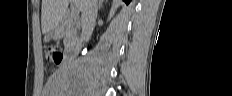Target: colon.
Listing matches in <instances>:
<instances>
[{
    "label": "colon",
    "instance_id": "5ec220e1",
    "mask_svg": "<svg viewBox=\"0 0 232 96\" xmlns=\"http://www.w3.org/2000/svg\"><path fill=\"white\" fill-rule=\"evenodd\" d=\"M46 54L48 59L55 64H60L63 60L62 52L53 46H49L46 49Z\"/></svg>",
    "mask_w": 232,
    "mask_h": 96
}]
</instances>
